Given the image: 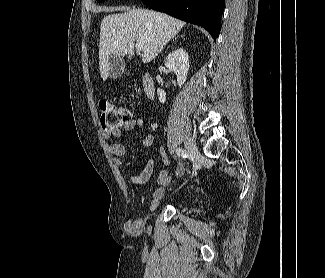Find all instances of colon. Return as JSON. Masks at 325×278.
Instances as JSON below:
<instances>
[{
	"label": "colon",
	"mask_w": 325,
	"mask_h": 278,
	"mask_svg": "<svg viewBox=\"0 0 325 278\" xmlns=\"http://www.w3.org/2000/svg\"><path fill=\"white\" fill-rule=\"evenodd\" d=\"M99 107L101 111V126L104 130L120 128L131 120L132 114L127 107L104 99L99 102Z\"/></svg>",
	"instance_id": "5ec220e1"
}]
</instances>
